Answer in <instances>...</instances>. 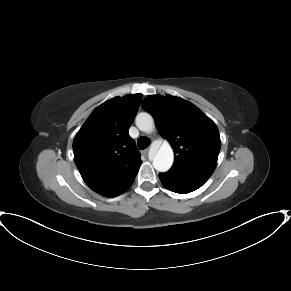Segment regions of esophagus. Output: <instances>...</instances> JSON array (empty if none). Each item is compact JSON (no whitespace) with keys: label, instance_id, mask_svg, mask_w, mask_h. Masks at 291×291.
I'll use <instances>...</instances> for the list:
<instances>
[{"label":"esophagus","instance_id":"1","mask_svg":"<svg viewBox=\"0 0 291 291\" xmlns=\"http://www.w3.org/2000/svg\"><path fill=\"white\" fill-rule=\"evenodd\" d=\"M148 152H149V150H148V149H146V150L144 151V153H145V154H148Z\"/></svg>","mask_w":291,"mask_h":291}]
</instances>
